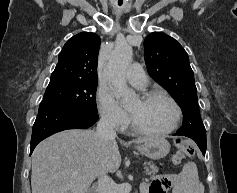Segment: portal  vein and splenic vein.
<instances>
[{
  "label": "portal vein and splenic vein",
  "instance_id": "18ae733b",
  "mask_svg": "<svg viewBox=\"0 0 237 193\" xmlns=\"http://www.w3.org/2000/svg\"><path fill=\"white\" fill-rule=\"evenodd\" d=\"M78 174H79V172L76 171V172H73V173H72V176H76V175H78Z\"/></svg>",
  "mask_w": 237,
  "mask_h": 193
}]
</instances>
